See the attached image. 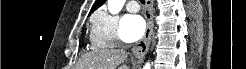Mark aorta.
<instances>
[{
    "label": "aorta",
    "mask_w": 246,
    "mask_h": 69,
    "mask_svg": "<svg viewBox=\"0 0 246 69\" xmlns=\"http://www.w3.org/2000/svg\"><path fill=\"white\" fill-rule=\"evenodd\" d=\"M125 3V0H108L107 6L111 14H117L121 11ZM150 63H146L144 69H150Z\"/></svg>",
    "instance_id": "762f6f07"
}]
</instances>
